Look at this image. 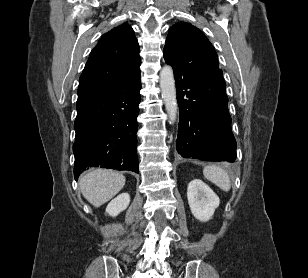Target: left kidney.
<instances>
[{
    "label": "left kidney",
    "mask_w": 308,
    "mask_h": 278,
    "mask_svg": "<svg viewBox=\"0 0 308 278\" xmlns=\"http://www.w3.org/2000/svg\"><path fill=\"white\" fill-rule=\"evenodd\" d=\"M187 199L193 216L201 222L209 221L219 206V197L200 179L188 184Z\"/></svg>",
    "instance_id": "left-kidney-1"
}]
</instances>
